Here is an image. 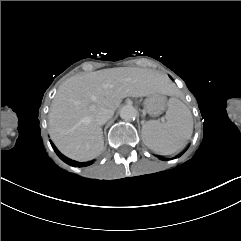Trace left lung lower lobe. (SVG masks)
<instances>
[{
    "mask_svg": "<svg viewBox=\"0 0 241 241\" xmlns=\"http://www.w3.org/2000/svg\"><path fill=\"white\" fill-rule=\"evenodd\" d=\"M186 151V150H185ZM185 151H183L181 154H179L177 157L181 156ZM162 160H167V159H163L161 158Z\"/></svg>",
    "mask_w": 241,
    "mask_h": 241,
    "instance_id": "0a47b994",
    "label": "left lung lower lobe"
}]
</instances>
